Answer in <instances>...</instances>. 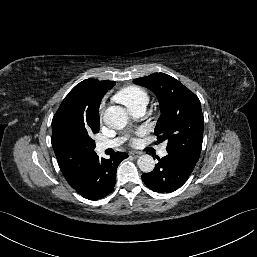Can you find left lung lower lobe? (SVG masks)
Instances as JSON below:
<instances>
[{
    "label": "left lung lower lobe",
    "instance_id": "obj_1",
    "mask_svg": "<svg viewBox=\"0 0 257 257\" xmlns=\"http://www.w3.org/2000/svg\"><path fill=\"white\" fill-rule=\"evenodd\" d=\"M158 160L154 170L142 174V179L151 190L159 193H170L180 188L196 165V162L176 153H168Z\"/></svg>",
    "mask_w": 257,
    "mask_h": 257
}]
</instances>
